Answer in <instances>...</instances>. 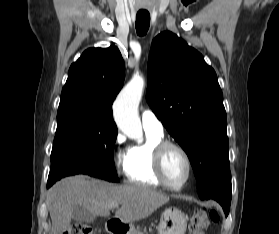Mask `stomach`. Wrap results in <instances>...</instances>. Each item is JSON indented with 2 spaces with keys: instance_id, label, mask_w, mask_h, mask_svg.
Segmentation results:
<instances>
[{
  "instance_id": "1",
  "label": "stomach",
  "mask_w": 279,
  "mask_h": 234,
  "mask_svg": "<svg viewBox=\"0 0 279 234\" xmlns=\"http://www.w3.org/2000/svg\"><path fill=\"white\" fill-rule=\"evenodd\" d=\"M188 216L177 208L166 209L157 227L158 234H185ZM127 234H135L136 229L132 224L127 225Z\"/></svg>"
}]
</instances>
